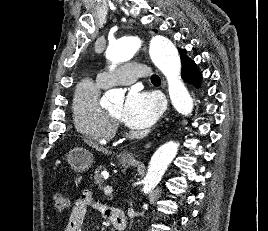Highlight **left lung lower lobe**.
Here are the masks:
<instances>
[{"mask_svg": "<svg viewBox=\"0 0 268 231\" xmlns=\"http://www.w3.org/2000/svg\"><path fill=\"white\" fill-rule=\"evenodd\" d=\"M182 78L196 87L200 84L201 74L197 70L195 62L190 58L182 61Z\"/></svg>", "mask_w": 268, "mask_h": 231, "instance_id": "left-lung-lower-lobe-1", "label": "left lung lower lobe"}]
</instances>
